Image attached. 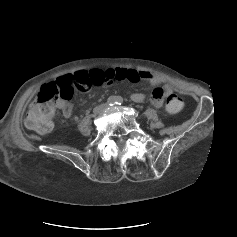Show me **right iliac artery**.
Wrapping results in <instances>:
<instances>
[{"label": "right iliac artery", "mask_w": 237, "mask_h": 237, "mask_svg": "<svg viewBox=\"0 0 237 237\" xmlns=\"http://www.w3.org/2000/svg\"><path fill=\"white\" fill-rule=\"evenodd\" d=\"M107 102L109 105L112 106L116 103V99H115V97H109Z\"/></svg>", "instance_id": "1"}]
</instances>
